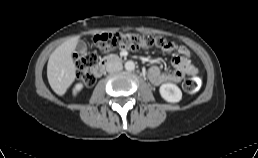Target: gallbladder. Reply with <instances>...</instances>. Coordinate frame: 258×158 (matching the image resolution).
<instances>
[{
  "label": "gallbladder",
  "mask_w": 258,
  "mask_h": 158,
  "mask_svg": "<svg viewBox=\"0 0 258 158\" xmlns=\"http://www.w3.org/2000/svg\"><path fill=\"white\" fill-rule=\"evenodd\" d=\"M76 52L79 53V54H84L87 50V45L84 41L80 40L78 41L77 43V46H76Z\"/></svg>",
  "instance_id": "gallbladder-1"
}]
</instances>
